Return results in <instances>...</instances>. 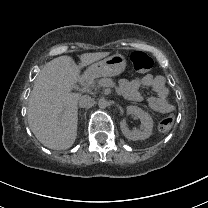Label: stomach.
Masks as SVG:
<instances>
[{
	"label": "stomach",
	"mask_w": 208,
	"mask_h": 208,
	"mask_svg": "<svg viewBox=\"0 0 208 208\" xmlns=\"http://www.w3.org/2000/svg\"><path fill=\"white\" fill-rule=\"evenodd\" d=\"M127 68V59L121 53H115L107 56L101 61L92 64L86 76L96 77H114L119 76L125 72Z\"/></svg>",
	"instance_id": "stomach-1"
}]
</instances>
